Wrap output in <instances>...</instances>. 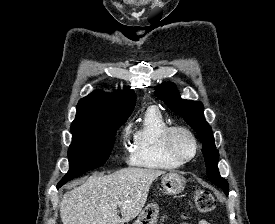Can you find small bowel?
Masks as SVG:
<instances>
[{
    "mask_svg": "<svg viewBox=\"0 0 275 224\" xmlns=\"http://www.w3.org/2000/svg\"><path fill=\"white\" fill-rule=\"evenodd\" d=\"M166 218L167 217L164 216L162 219V222H164L166 220ZM198 224H210V223L207 220L202 219L198 222Z\"/></svg>",
    "mask_w": 275,
    "mask_h": 224,
    "instance_id": "small-bowel-1",
    "label": "small bowel"
}]
</instances>
